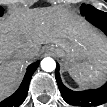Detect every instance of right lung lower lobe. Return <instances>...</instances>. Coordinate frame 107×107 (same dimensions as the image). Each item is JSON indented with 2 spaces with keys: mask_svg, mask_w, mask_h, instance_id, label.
Listing matches in <instances>:
<instances>
[{
  "mask_svg": "<svg viewBox=\"0 0 107 107\" xmlns=\"http://www.w3.org/2000/svg\"><path fill=\"white\" fill-rule=\"evenodd\" d=\"M38 65H39V61L31 64L28 67L20 88L12 96H10L9 98L2 101V103H1L2 105L12 107V106H19L24 102L26 95H27L28 86H29V82L31 80V76L34 73V71L37 69Z\"/></svg>",
  "mask_w": 107,
  "mask_h": 107,
  "instance_id": "right-lung-lower-lobe-1",
  "label": "right lung lower lobe"
}]
</instances>
